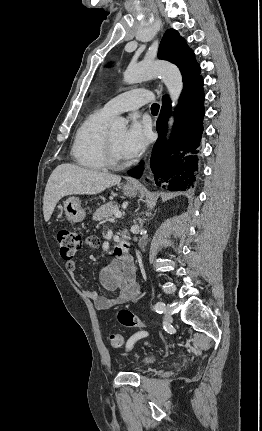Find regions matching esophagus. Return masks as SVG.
I'll use <instances>...</instances> for the list:
<instances>
[{"instance_id":"obj_1","label":"esophagus","mask_w":262,"mask_h":431,"mask_svg":"<svg viewBox=\"0 0 262 431\" xmlns=\"http://www.w3.org/2000/svg\"><path fill=\"white\" fill-rule=\"evenodd\" d=\"M131 184H132V185H135V186H139V184H138L137 182H135V181H134V182H131Z\"/></svg>"}]
</instances>
